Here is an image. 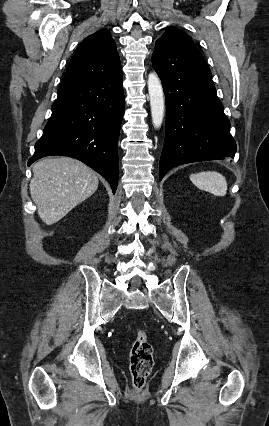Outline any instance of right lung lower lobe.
<instances>
[{
  "mask_svg": "<svg viewBox=\"0 0 269 426\" xmlns=\"http://www.w3.org/2000/svg\"><path fill=\"white\" fill-rule=\"evenodd\" d=\"M124 108L122 70L102 79L61 85L28 166L45 156H70L105 177L115 193Z\"/></svg>",
  "mask_w": 269,
  "mask_h": 426,
  "instance_id": "98d812e1",
  "label": "right lung lower lobe"
}]
</instances>
